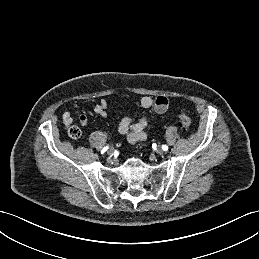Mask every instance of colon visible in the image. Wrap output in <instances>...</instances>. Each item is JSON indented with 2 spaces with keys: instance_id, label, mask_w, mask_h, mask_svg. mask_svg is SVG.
<instances>
[{
  "instance_id": "5ec220e1",
  "label": "colon",
  "mask_w": 259,
  "mask_h": 259,
  "mask_svg": "<svg viewBox=\"0 0 259 259\" xmlns=\"http://www.w3.org/2000/svg\"><path fill=\"white\" fill-rule=\"evenodd\" d=\"M177 123L178 125L184 129V130H187L190 128L191 124H192V120L191 118L185 114V113H182V114H179L177 116ZM67 132H68V135L73 138V139H77L81 136V130L78 126H75V125H71L67 128Z\"/></svg>"
}]
</instances>
